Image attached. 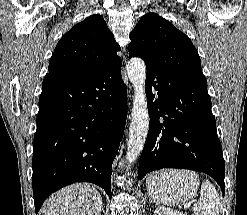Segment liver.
Here are the masks:
<instances>
[{
  "label": "liver",
  "instance_id": "6515ba94",
  "mask_svg": "<svg viewBox=\"0 0 247 215\" xmlns=\"http://www.w3.org/2000/svg\"><path fill=\"white\" fill-rule=\"evenodd\" d=\"M103 201L96 188L77 183L56 192L43 207V215H100Z\"/></svg>",
  "mask_w": 247,
  "mask_h": 215
}]
</instances>
